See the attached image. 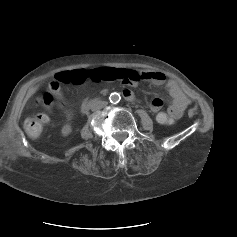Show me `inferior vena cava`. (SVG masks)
Segmentation results:
<instances>
[{
  "mask_svg": "<svg viewBox=\"0 0 237 237\" xmlns=\"http://www.w3.org/2000/svg\"><path fill=\"white\" fill-rule=\"evenodd\" d=\"M108 103L106 101L98 100L91 104V110L97 111L105 107Z\"/></svg>",
  "mask_w": 237,
  "mask_h": 237,
  "instance_id": "inferior-vena-cava-1",
  "label": "inferior vena cava"
}]
</instances>
